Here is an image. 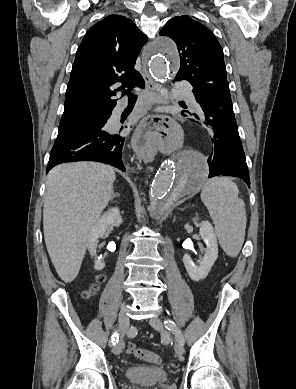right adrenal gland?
Masks as SVG:
<instances>
[{
	"label": "right adrenal gland",
	"mask_w": 296,
	"mask_h": 389,
	"mask_svg": "<svg viewBox=\"0 0 296 389\" xmlns=\"http://www.w3.org/2000/svg\"><path fill=\"white\" fill-rule=\"evenodd\" d=\"M116 197L119 198L120 194L119 193H113L111 200H114V198H116Z\"/></svg>",
	"instance_id": "right-adrenal-gland-1"
}]
</instances>
